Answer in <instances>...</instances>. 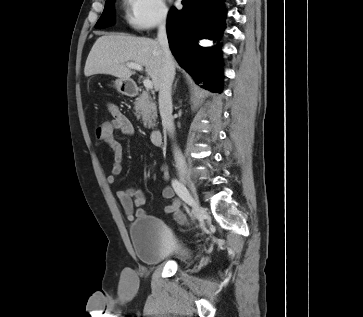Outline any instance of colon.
<instances>
[{"label":"colon","instance_id":"5ec220e1","mask_svg":"<svg viewBox=\"0 0 363 317\" xmlns=\"http://www.w3.org/2000/svg\"><path fill=\"white\" fill-rule=\"evenodd\" d=\"M103 124H99V125H97L96 127H95V131H98L100 128H101V126H102ZM179 221H180V223H184V217L183 216H179Z\"/></svg>","mask_w":363,"mask_h":317}]
</instances>
